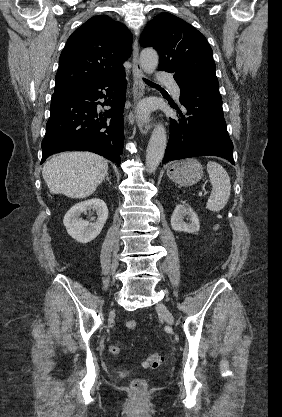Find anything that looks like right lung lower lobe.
<instances>
[{
    "mask_svg": "<svg viewBox=\"0 0 282 417\" xmlns=\"http://www.w3.org/2000/svg\"><path fill=\"white\" fill-rule=\"evenodd\" d=\"M126 85L124 72L120 76L54 93L41 145V163L54 153L82 150L104 156L119 166L124 140L122 113ZM99 89L105 90L106 96ZM101 98L107 101L97 102ZM98 104L111 106V109L105 111L104 117L96 119Z\"/></svg>",
    "mask_w": 282,
    "mask_h": 417,
    "instance_id": "98d812e1",
    "label": "right lung lower lobe"
}]
</instances>
